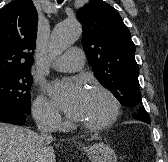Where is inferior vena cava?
<instances>
[{
  "instance_id": "obj_1",
  "label": "inferior vena cava",
  "mask_w": 168,
  "mask_h": 162,
  "mask_svg": "<svg viewBox=\"0 0 168 162\" xmlns=\"http://www.w3.org/2000/svg\"><path fill=\"white\" fill-rule=\"evenodd\" d=\"M37 127L40 131V140L41 141H52V129H53V117L50 115H41L37 119Z\"/></svg>"
}]
</instances>
